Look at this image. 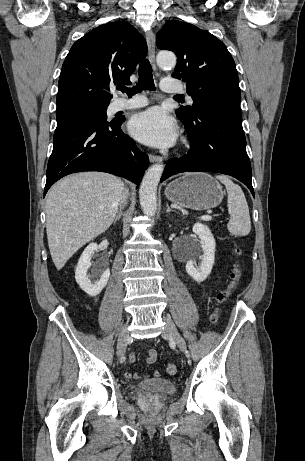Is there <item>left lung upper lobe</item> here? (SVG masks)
Segmentation results:
<instances>
[{
  "label": "left lung upper lobe",
  "mask_w": 305,
  "mask_h": 461,
  "mask_svg": "<svg viewBox=\"0 0 305 461\" xmlns=\"http://www.w3.org/2000/svg\"><path fill=\"white\" fill-rule=\"evenodd\" d=\"M157 46L177 55L172 76L186 82L192 106L180 107L181 120L193 119L211 104L241 102L238 71L226 46L198 27L171 20L158 32Z\"/></svg>",
  "instance_id": "5c2ea615"
}]
</instances>
